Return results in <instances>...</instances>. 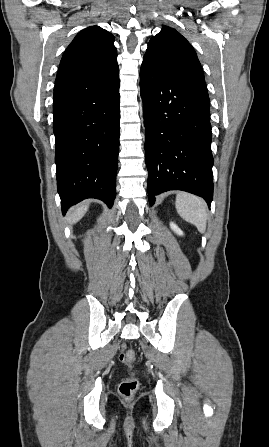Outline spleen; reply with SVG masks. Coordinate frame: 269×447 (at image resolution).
I'll return each mask as SVG.
<instances>
[{"mask_svg":"<svg viewBox=\"0 0 269 447\" xmlns=\"http://www.w3.org/2000/svg\"><path fill=\"white\" fill-rule=\"evenodd\" d=\"M175 208L183 220L196 225L198 231L204 233L207 225V208L204 200L193 194L177 192Z\"/></svg>","mask_w":269,"mask_h":447,"instance_id":"1","label":"spleen"}]
</instances>
